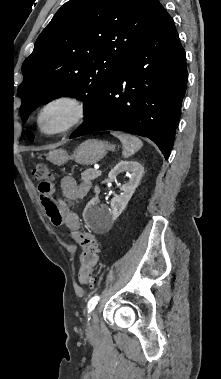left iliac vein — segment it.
Masks as SVG:
<instances>
[{
  "label": "left iliac vein",
  "instance_id": "obj_1",
  "mask_svg": "<svg viewBox=\"0 0 221 379\" xmlns=\"http://www.w3.org/2000/svg\"><path fill=\"white\" fill-rule=\"evenodd\" d=\"M98 329V316L97 312L93 311L91 312L89 324H88V330L90 333L95 332Z\"/></svg>",
  "mask_w": 221,
  "mask_h": 379
}]
</instances>
